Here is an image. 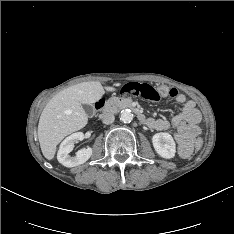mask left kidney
I'll return each mask as SVG.
<instances>
[{"mask_svg": "<svg viewBox=\"0 0 234 234\" xmlns=\"http://www.w3.org/2000/svg\"><path fill=\"white\" fill-rule=\"evenodd\" d=\"M152 143L158 155L165 159H171L176 153V144L173 137L166 132L156 133L152 137Z\"/></svg>", "mask_w": 234, "mask_h": 234, "instance_id": "1", "label": "left kidney"}]
</instances>
